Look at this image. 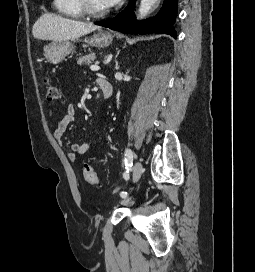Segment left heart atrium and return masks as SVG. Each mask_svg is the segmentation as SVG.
Here are the masks:
<instances>
[{
  "label": "left heart atrium",
  "mask_w": 255,
  "mask_h": 272,
  "mask_svg": "<svg viewBox=\"0 0 255 272\" xmlns=\"http://www.w3.org/2000/svg\"><path fill=\"white\" fill-rule=\"evenodd\" d=\"M103 2L107 8H110L117 5L121 0H103Z\"/></svg>",
  "instance_id": "left-heart-atrium-1"
}]
</instances>
